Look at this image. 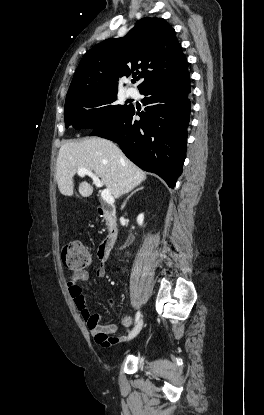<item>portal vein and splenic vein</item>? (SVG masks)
Wrapping results in <instances>:
<instances>
[{"label": "portal vein and splenic vein", "instance_id": "1", "mask_svg": "<svg viewBox=\"0 0 264 415\" xmlns=\"http://www.w3.org/2000/svg\"><path fill=\"white\" fill-rule=\"evenodd\" d=\"M77 173L79 176H84V175L90 176L93 180V183L97 187L101 188L103 186L102 181L91 170L86 169V168H79ZM101 197L108 204H114L115 202V199L112 196L111 191L109 189H103L101 192Z\"/></svg>", "mask_w": 264, "mask_h": 415}]
</instances>
